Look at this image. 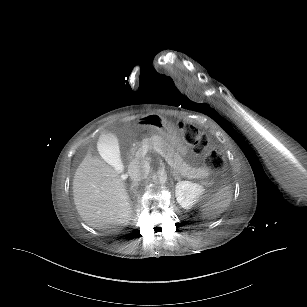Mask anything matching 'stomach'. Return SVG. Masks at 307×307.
<instances>
[{"mask_svg": "<svg viewBox=\"0 0 307 307\" xmlns=\"http://www.w3.org/2000/svg\"><path fill=\"white\" fill-rule=\"evenodd\" d=\"M142 121L148 122L153 126L176 149L178 154L183 156L187 154L185 142L173 124L155 114L145 116L142 118Z\"/></svg>", "mask_w": 307, "mask_h": 307, "instance_id": "stomach-1", "label": "stomach"}]
</instances>
